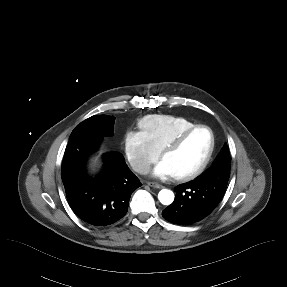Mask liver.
<instances>
[{
	"mask_svg": "<svg viewBox=\"0 0 287 287\" xmlns=\"http://www.w3.org/2000/svg\"><path fill=\"white\" fill-rule=\"evenodd\" d=\"M98 157L93 160L94 165L97 163Z\"/></svg>",
	"mask_w": 287,
	"mask_h": 287,
	"instance_id": "1",
	"label": "liver"
}]
</instances>
